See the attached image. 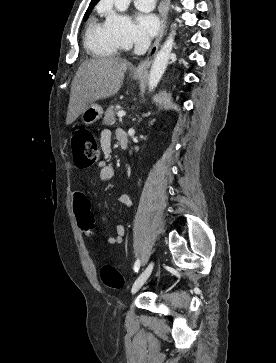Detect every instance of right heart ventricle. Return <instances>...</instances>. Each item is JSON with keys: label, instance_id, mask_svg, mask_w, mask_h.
I'll list each match as a JSON object with an SVG mask.
<instances>
[{"label": "right heart ventricle", "instance_id": "1", "mask_svg": "<svg viewBox=\"0 0 276 363\" xmlns=\"http://www.w3.org/2000/svg\"><path fill=\"white\" fill-rule=\"evenodd\" d=\"M85 47L94 56L110 57L119 52L121 45L109 28L107 21L101 22L92 18L86 29Z\"/></svg>", "mask_w": 276, "mask_h": 363}]
</instances>
